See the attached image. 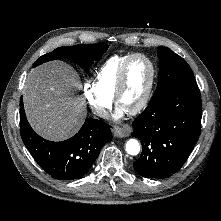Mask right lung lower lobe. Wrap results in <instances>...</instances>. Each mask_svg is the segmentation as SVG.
I'll return each mask as SVG.
<instances>
[{"label":"right lung lower lobe","mask_w":221,"mask_h":221,"mask_svg":"<svg viewBox=\"0 0 221 221\" xmlns=\"http://www.w3.org/2000/svg\"><path fill=\"white\" fill-rule=\"evenodd\" d=\"M21 137L35 161L49 175L59 180L79 179L91 168L102 146L112 139L110 126L88 118L79 132L68 140L51 142L30 127L22 98L20 100Z\"/></svg>","instance_id":"right-lung-lower-lobe-1"}]
</instances>
